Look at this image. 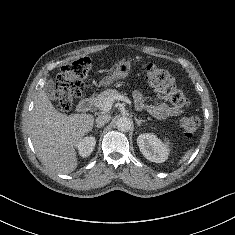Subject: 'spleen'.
<instances>
[{"label":"spleen","mask_w":235,"mask_h":235,"mask_svg":"<svg viewBox=\"0 0 235 235\" xmlns=\"http://www.w3.org/2000/svg\"><path fill=\"white\" fill-rule=\"evenodd\" d=\"M192 151H193V149L189 150V151L185 154V156H184L183 159L181 160V163L184 162V161H186V160L190 157V155L192 154Z\"/></svg>","instance_id":"3e777b00"}]
</instances>
